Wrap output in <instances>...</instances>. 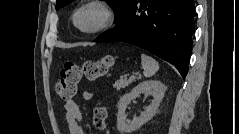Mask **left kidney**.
I'll use <instances>...</instances> for the list:
<instances>
[{"label":"left kidney","mask_w":239,"mask_h":134,"mask_svg":"<svg viewBox=\"0 0 239 134\" xmlns=\"http://www.w3.org/2000/svg\"><path fill=\"white\" fill-rule=\"evenodd\" d=\"M166 87L159 81L148 80L141 82L130 93L122 96L118 103L117 129L121 134H130L139 129L143 124L148 122L157 112V109L164 97ZM141 93L153 96V100L145 111L139 117L132 120L127 119L126 108L130 102L138 97Z\"/></svg>","instance_id":"1"}]
</instances>
